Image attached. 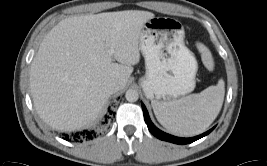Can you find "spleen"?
<instances>
[{"instance_id": "1", "label": "spleen", "mask_w": 267, "mask_h": 166, "mask_svg": "<svg viewBox=\"0 0 267 166\" xmlns=\"http://www.w3.org/2000/svg\"><path fill=\"white\" fill-rule=\"evenodd\" d=\"M225 94L224 81L169 102L152 101L158 122L170 132L180 136H193L204 132L219 114Z\"/></svg>"}]
</instances>
